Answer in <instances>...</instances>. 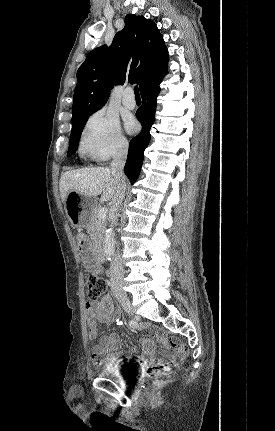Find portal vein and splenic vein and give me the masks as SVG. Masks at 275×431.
I'll use <instances>...</instances> for the list:
<instances>
[{
    "label": "portal vein and splenic vein",
    "mask_w": 275,
    "mask_h": 431,
    "mask_svg": "<svg viewBox=\"0 0 275 431\" xmlns=\"http://www.w3.org/2000/svg\"><path fill=\"white\" fill-rule=\"evenodd\" d=\"M107 215V208L101 207L98 211V217L101 219H105Z\"/></svg>",
    "instance_id": "portal-vein-and-splenic-vein-1"
}]
</instances>
